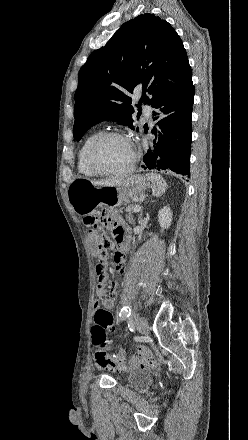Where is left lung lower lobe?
<instances>
[{
  "label": "left lung lower lobe",
  "mask_w": 248,
  "mask_h": 440,
  "mask_svg": "<svg viewBox=\"0 0 248 440\" xmlns=\"http://www.w3.org/2000/svg\"><path fill=\"white\" fill-rule=\"evenodd\" d=\"M194 92L191 79L170 91L156 104L154 108H160L168 116L157 123L163 135L159 132V141H154V149L144 156L142 168L189 176ZM152 133L157 134L155 127Z\"/></svg>",
  "instance_id": "1"
}]
</instances>
